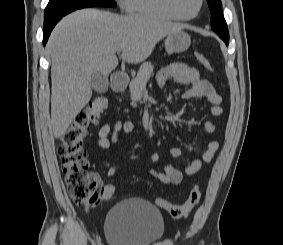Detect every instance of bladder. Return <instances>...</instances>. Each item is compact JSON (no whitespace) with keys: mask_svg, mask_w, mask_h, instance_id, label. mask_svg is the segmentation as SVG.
<instances>
[{"mask_svg":"<svg viewBox=\"0 0 283 245\" xmlns=\"http://www.w3.org/2000/svg\"><path fill=\"white\" fill-rule=\"evenodd\" d=\"M164 233L161 212L143 199L122 200L106 216L105 235L109 245H154L163 239Z\"/></svg>","mask_w":283,"mask_h":245,"instance_id":"obj_1","label":"bladder"}]
</instances>
